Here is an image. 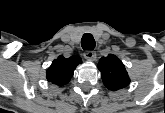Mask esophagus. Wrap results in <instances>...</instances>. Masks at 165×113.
Wrapping results in <instances>:
<instances>
[{
	"instance_id": "obj_1",
	"label": "esophagus",
	"mask_w": 165,
	"mask_h": 113,
	"mask_svg": "<svg viewBox=\"0 0 165 113\" xmlns=\"http://www.w3.org/2000/svg\"><path fill=\"white\" fill-rule=\"evenodd\" d=\"M84 57L87 60H92L93 61L96 58V53L92 50H87V51L84 52Z\"/></svg>"
}]
</instances>
